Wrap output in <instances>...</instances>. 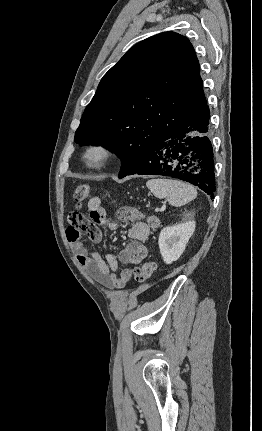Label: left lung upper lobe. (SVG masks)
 Instances as JSON below:
<instances>
[{
	"instance_id": "5c2ea615",
	"label": "left lung upper lobe",
	"mask_w": 262,
	"mask_h": 431,
	"mask_svg": "<svg viewBox=\"0 0 262 431\" xmlns=\"http://www.w3.org/2000/svg\"><path fill=\"white\" fill-rule=\"evenodd\" d=\"M205 105L193 46L177 33H160L134 45L103 76L75 142L115 152L122 160V178Z\"/></svg>"
}]
</instances>
